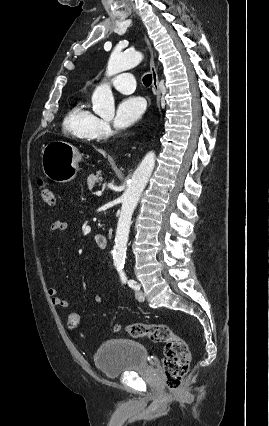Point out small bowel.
I'll use <instances>...</instances> for the list:
<instances>
[{
	"instance_id": "small-bowel-1",
	"label": "small bowel",
	"mask_w": 269,
	"mask_h": 426,
	"mask_svg": "<svg viewBox=\"0 0 269 426\" xmlns=\"http://www.w3.org/2000/svg\"><path fill=\"white\" fill-rule=\"evenodd\" d=\"M68 229V223L66 221H62V220H56L51 224L50 227V231L52 233H60V232H64ZM48 293L51 297L52 300V304L56 307V308H60V309H67L69 307V302L64 299L63 297L60 296L59 290L56 287H50L48 289ZM94 301L96 304H103V303H108L110 300L107 297H104L102 295H96L94 297ZM68 319L69 321L73 320V319H78L79 320V315L76 313H70L68 315Z\"/></svg>"
}]
</instances>
